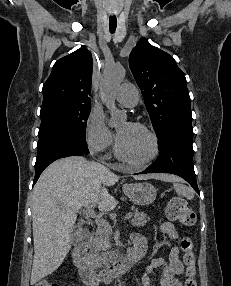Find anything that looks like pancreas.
<instances>
[{"mask_svg": "<svg viewBox=\"0 0 231 286\" xmlns=\"http://www.w3.org/2000/svg\"><path fill=\"white\" fill-rule=\"evenodd\" d=\"M148 216L144 212H134V218L131 224L135 227H142L148 221ZM112 235L111 227L99 228L93 233L90 242V252L87 260L91 267L102 268L109 265L113 259L114 252L110 251L112 244L110 242Z\"/></svg>", "mask_w": 231, "mask_h": 286, "instance_id": "1", "label": "pancreas"}]
</instances>
